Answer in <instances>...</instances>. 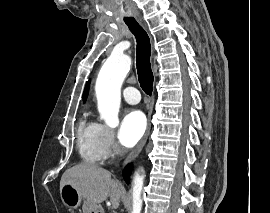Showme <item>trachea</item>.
Returning <instances> with one entry per match:
<instances>
[{"label": "trachea", "instance_id": "obj_1", "mask_svg": "<svg viewBox=\"0 0 270 213\" xmlns=\"http://www.w3.org/2000/svg\"><path fill=\"white\" fill-rule=\"evenodd\" d=\"M125 23L129 27L130 31L134 34L137 41L136 66L140 86L146 94H151L153 91L154 77L150 63V38L146 31L136 22L135 19H125Z\"/></svg>", "mask_w": 270, "mask_h": 213}]
</instances>
